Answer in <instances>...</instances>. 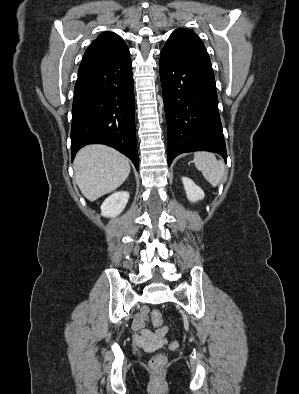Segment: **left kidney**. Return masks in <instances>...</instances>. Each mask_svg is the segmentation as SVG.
I'll return each mask as SVG.
<instances>
[{
    "label": "left kidney",
    "instance_id": "5707ae66",
    "mask_svg": "<svg viewBox=\"0 0 299 394\" xmlns=\"http://www.w3.org/2000/svg\"><path fill=\"white\" fill-rule=\"evenodd\" d=\"M182 183L189 201L197 202L204 198L203 190L198 187L190 178L182 177Z\"/></svg>",
    "mask_w": 299,
    "mask_h": 394
}]
</instances>
